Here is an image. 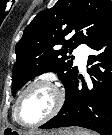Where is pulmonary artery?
Here are the masks:
<instances>
[{"label":"pulmonary artery","instance_id":"1","mask_svg":"<svg viewBox=\"0 0 112 135\" xmlns=\"http://www.w3.org/2000/svg\"><path fill=\"white\" fill-rule=\"evenodd\" d=\"M89 52L90 48L87 45H81L76 51V62L82 69L86 66Z\"/></svg>","mask_w":112,"mask_h":135}]
</instances>
